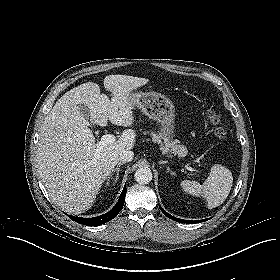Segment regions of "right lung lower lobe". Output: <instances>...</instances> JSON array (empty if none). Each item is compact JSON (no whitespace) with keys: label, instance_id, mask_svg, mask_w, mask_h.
<instances>
[{"label":"right lung lower lobe","instance_id":"obj_1","mask_svg":"<svg viewBox=\"0 0 280 280\" xmlns=\"http://www.w3.org/2000/svg\"><path fill=\"white\" fill-rule=\"evenodd\" d=\"M125 195H126V185L124 186V189L119 197L117 204L114 206V208L112 210H110L109 212H107L106 214H103L101 216L93 217V218H82V217H74V216L69 215V217H71V219L74 220L75 222L83 224V225H87V226L102 225V224L112 220L113 218H115L118 215V213L120 212V210L122 209V207L124 205Z\"/></svg>","mask_w":280,"mask_h":280}]
</instances>
